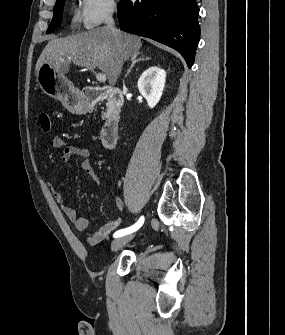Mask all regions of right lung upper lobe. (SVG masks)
<instances>
[{
	"instance_id": "1",
	"label": "right lung upper lobe",
	"mask_w": 285,
	"mask_h": 335,
	"mask_svg": "<svg viewBox=\"0 0 285 335\" xmlns=\"http://www.w3.org/2000/svg\"><path fill=\"white\" fill-rule=\"evenodd\" d=\"M63 0H56V4H58V3H60V2H62ZM55 4V5H56Z\"/></svg>"
}]
</instances>
